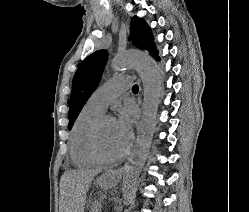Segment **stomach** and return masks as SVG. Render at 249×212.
<instances>
[{
    "label": "stomach",
    "mask_w": 249,
    "mask_h": 212,
    "mask_svg": "<svg viewBox=\"0 0 249 212\" xmlns=\"http://www.w3.org/2000/svg\"><path fill=\"white\" fill-rule=\"evenodd\" d=\"M100 179L101 180H114L115 176L114 175H101Z\"/></svg>",
    "instance_id": "stomach-1"
}]
</instances>
